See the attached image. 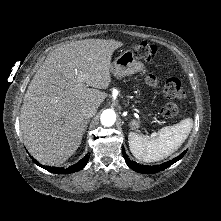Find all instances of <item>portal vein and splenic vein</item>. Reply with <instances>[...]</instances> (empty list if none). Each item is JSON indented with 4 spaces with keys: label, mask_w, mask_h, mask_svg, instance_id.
<instances>
[{
    "label": "portal vein and splenic vein",
    "mask_w": 221,
    "mask_h": 221,
    "mask_svg": "<svg viewBox=\"0 0 221 221\" xmlns=\"http://www.w3.org/2000/svg\"><path fill=\"white\" fill-rule=\"evenodd\" d=\"M84 80V76H80V81H83Z\"/></svg>",
    "instance_id": "portal-vein-and-splenic-vein-1"
}]
</instances>
